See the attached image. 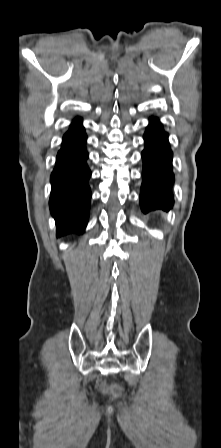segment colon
<instances>
[{
	"label": "colon",
	"instance_id": "5ec220e1",
	"mask_svg": "<svg viewBox=\"0 0 221 448\" xmlns=\"http://www.w3.org/2000/svg\"><path fill=\"white\" fill-rule=\"evenodd\" d=\"M102 386H103V388L107 389V387L105 385H102ZM115 395L119 396V392H116Z\"/></svg>",
	"mask_w": 221,
	"mask_h": 448
}]
</instances>
